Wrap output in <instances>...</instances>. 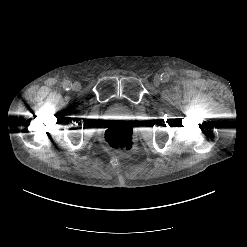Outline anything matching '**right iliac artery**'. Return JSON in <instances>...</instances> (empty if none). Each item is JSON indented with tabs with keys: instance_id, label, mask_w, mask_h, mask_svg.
<instances>
[{
	"instance_id": "obj_1",
	"label": "right iliac artery",
	"mask_w": 247,
	"mask_h": 247,
	"mask_svg": "<svg viewBox=\"0 0 247 247\" xmlns=\"http://www.w3.org/2000/svg\"><path fill=\"white\" fill-rule=\"evenodd\" d=\"M71 87H72V83H71L70 81H65V82L63 83V88H64L65 90H70Z\"/></svg>"
}]
</instances>
